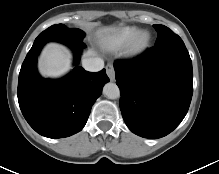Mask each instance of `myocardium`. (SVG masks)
Masks as SVG:
<instances>
[{
	"mask_svg": "<svg viewBox=\"0 0 219 174\" xmlns=\"http://www.w3.org/2000/svg\"><path fill=\"white\" fill-rule=\"evenodd\" d=\"M151 41V35L148 31H140L128 43L126 53L129 56H137L146 51Z\"/></svg>",
	"mask_w": 219,
	"mask_h": 174,
	"instance_id": "f54148a6",
	"label": "myocardium"
}]
</instances>
